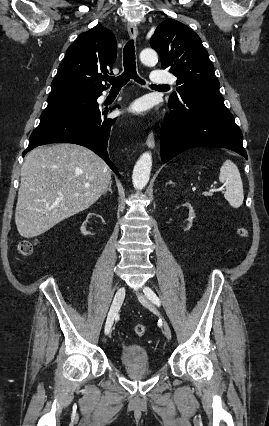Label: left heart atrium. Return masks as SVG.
Here are the masks:
<instances>
[{"instance_id":"obj_1","label":"left heart atrium","mask_w":269,"mask_h":426,"mask_svg":"<svg viewBox=\"0 0 269 426\" xmlns=\"http://www.w3.org/2000/svg\"><path fill=\"white\" fill-rule=\"evenodd\" d=\"M149 108H150V105L147 101L138 100L132 105L131 110L134 113H143V112L147 111Z\"/></svg>"}]
</instances>
